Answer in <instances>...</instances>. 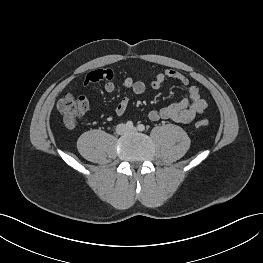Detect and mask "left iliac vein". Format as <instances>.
I'll return each mask as SVG.
<instances>
[{
	"label": "left iliac vein",
	"mask_w": 263,
	"mask_h": 263,
	"mask_svg": "<svg viewBox=\"0 0 263 263\" xmlns=\"http://www.w3.org/2000/svg\"><path fill=\"white\" fill-rule=\"evenodd\" d=\"M137 129L135 127L129 128L128 131L129 132H135Z\"/></svg>",
	"instance_id": "1"
}]
</instances>
